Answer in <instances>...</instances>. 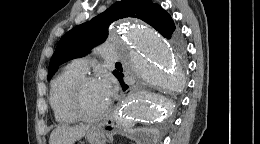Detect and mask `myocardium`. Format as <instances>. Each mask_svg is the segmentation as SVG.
<instances>
[{"mask_svg":"<svg viewBox=\"0 0 260 144\" xmlns=\"http://www.w3.org/2000/svg\"><path fill=\"white\" fill-rule=\"evenodd\" d=\"M98 82L97 79L90 77V76H83L81 77L72 87L69 98H68V108L72 115L81 121L85 122H95L101 119L106 112L108 111L109 104L101 110L99 113L94 115L86 114L81 106H80V98L84 87L87 84Z\"/></svg>","mask_w":260,"mask_h":144,"instance_id":"myocardium-1","label":"myocardium"}]
</instances>
